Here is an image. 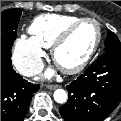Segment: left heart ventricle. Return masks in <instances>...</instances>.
Instances as JSON below:
<instances>
[{
  "instance_id": "obj_1",
  "label": "left heart ventricle",
  "mask_w": 121,
  "mask_h": 121,
  "mask_svg": "<svg viewBox=\"0 0 121 121\" xmlns=\"http://www.w3.org/2000/svg\"><path fill=\"white\" fill-rule=\"evenodd\" d=\"M97 38V28L92 22L78 26L68 40L57 51V62L61 67L78 64L93 47Z\"/></svg>"
}]
</instances>
